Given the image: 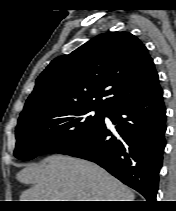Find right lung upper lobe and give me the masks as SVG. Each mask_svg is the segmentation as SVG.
<instances>
[{"label": "right lung upper lobe", "instance_id": "1", "mask_svg": "<svg viewBox=\"0 0 176 211\" xmlns=\"http://www.w3.org/2000/svg\"><path fill=\"white\" fill-rule=\"evenodd\" d=\"M158 86L153 59L141 41L129 32H108L54 59L37 78L19 118L73 107L107 112Z\"/></svg>", "mask_w": 176, "mask_h": 211}]
</instances>
